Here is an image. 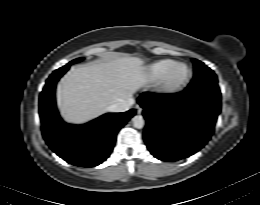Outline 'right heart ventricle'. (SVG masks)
I'll use <instances>...</instances> for the list:
<instances>
[{
  "label": "right heart ventricle",
  "instance_id": "obj_1",
  "mask_svg": "<svg viewBox=\"0 0 260 205\" xmlns=\"http://www.w3.org/2000/svg\"><path fill=\"white\" fill-rule=\"evenodd\" d=\"M176 63L171 59H162L150 64L145 72L147 80L150 82H157L165 74V72Z\"/></svg>",
  "mask_w": 260,
  "mask_h": 205
}]
</instances>
